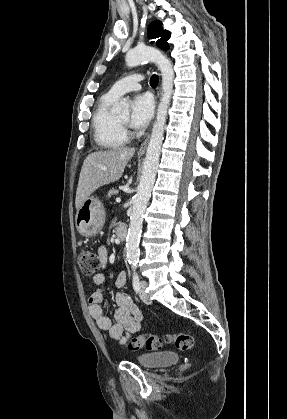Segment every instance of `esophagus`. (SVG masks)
Listing matches in <instances>:
<instances>
[{
  "mask_svg": "<svg viewBox=\"0 0 287 419\" xmlns=\"http://www.w3.org/2000/svg\"><path fill=\"white\" fill-rule=\"evenodd\" d=\"M159 95H160V91H158L157 96L159 97ZM148 140H149V135L147 136V138L144 140V142L141 144L140 148L138 149L139 153H144L145 152Z\"/></svg>",
  "mask_w": 287,
  "mask_h": 419,
  "instance_id": "1",
  "label": "esophagus"
}]
</instances>
